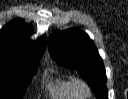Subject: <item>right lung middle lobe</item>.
Here are the masks:
<instances>
[{
  "mask_svg": "<svg viewBox=\"0 0 128 99\" xmlns=\"http://www.w3.org/2000/svg\"><path fill=\"white\" fill-rule=\"evenodd\" d=\"M40 58L0 57V99H21L24 96Z\"/></svg>",
  "mask_w": 128,
  "mask_h": 99,
  "instance_id": "1",
  "label": "right lung middle lobe"
}]
</instances>
